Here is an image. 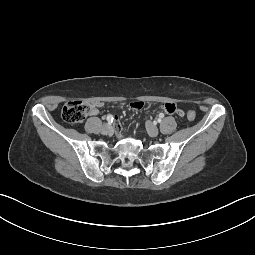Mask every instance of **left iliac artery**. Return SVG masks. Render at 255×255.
I'll return each mask as SVG.
<instances>
[{
    "instance_id": "44dca946",
    "label": "left iliac artery",
    "mask_w": 255,
    "mask_h": 255,
    "mask_svg": "<svg viewBox=\"0 0 255 255\" xmlns=\"http://www.w3.org/2000/svg\"><path fill=\"white\" fill-rule=\"evenodd\" d=\"M160 121H161V119L159 118V119H158V122H160Z\"/></svg>"
}]
</instances>
